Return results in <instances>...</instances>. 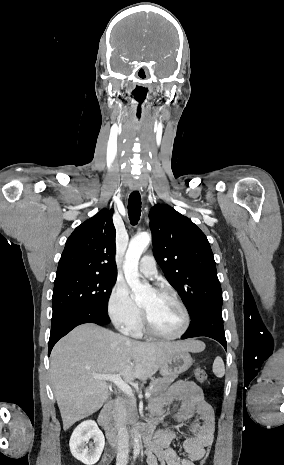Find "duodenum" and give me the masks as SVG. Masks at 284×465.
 Here are the masks:
<instances>
[{"label":"duodenum","instance_id":"obj_1","mask_svg":"<svg viewBox=\"0 0 284 465\" xmlns=\"http://www.w3.org/2000/svg\"><path fill=\"white\" fill-rule=\"evenodd\" d=\"M114 406L115 401L109 400L107 404L101 409L97 418V422L106 433L112 446L119 447L122 442V437L116 432L110 423V415ZM132 437H136L139 440H143L147 443L150 439V432L146 429V427H138L132 433Z\"/></svg>","mask_w":284,"mask_h":465}]
</instances>
